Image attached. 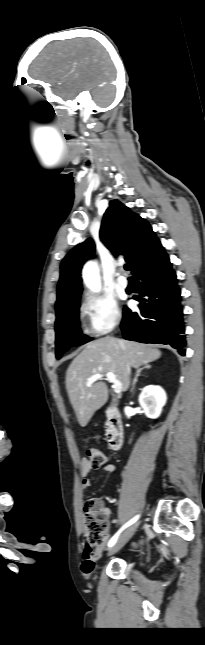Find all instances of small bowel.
Here are the masks:
<instances>
[{
    "instance_id": "obj_1",
    "label": "small bowel",
    "mask_w": 205,
    "mask_h": 645,
    "mask_svg": "<svg viewBox=\"0 0 205 645\" xmlns=\"http://www.w3.org/2000/svg\"><path fill=\"white\" fill-rule=\"evenodd\" d=\"M94 469V467L89 463L87 459H82L80 463V476H81V485L84 489H87L91 485V481L89 478L90 472ZM104 470L107 472H113L115 470V466L113 464H107L104 467ZM105 515L106 518L109 519L111 516V511L110 509H105ZM102 550V547H99L97 549V552H100ZM96 560V553L93 552L92 550H89L85 547L84 552H83V563L91 568H93Z\"/></svg>"
}]
</instances>
